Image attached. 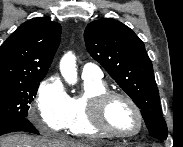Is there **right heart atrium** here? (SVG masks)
Returning a JSON list of instances; mask_svg holds the SVG:
<instances>
[{
    "label": "right heart atrium",
    "instance_id": "1",
    "mask_svg": "<svg viewBox=\"0 0 183 147\" xmlns=\"http://www.w3.org/2000/svg\"><path fill=\"white\" fill-rule=\"evenodd\" d=\"M35 105L38 126L46 127L52 131H61L65 128L69 96L57 76H49L39 84Z\"/></svg>",
    "mask_w": 183,
    "mask_h": 147
}]
</instances>
